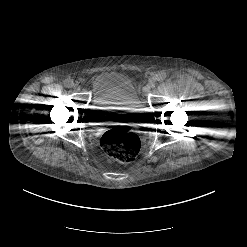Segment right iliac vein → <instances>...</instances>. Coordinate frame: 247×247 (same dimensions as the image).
<instances>
[{
	"label": "right iliac vein",
	"instance_id": "right-iliac-vein-1",
	"mask_svg": "<svg viewBox=\"0 0 247 247\" xmlns=\"http://www.w3.org/2000/svg\"><path fill=\"white\" fill-rule=\"evenodd\" d=\"M73 89H74L75 91H79V90H80V86H79L78 84H74V85H73Z\"/></svg>",
	"mask_w": 247,
	"mask_h": 247
}]
</instances>
